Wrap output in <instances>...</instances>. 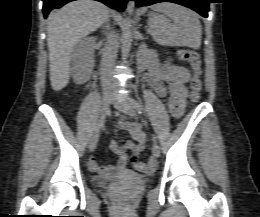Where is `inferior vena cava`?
I'll return each mask as SVG.
<instances>
[{"instance_id": "602c4592", "label": "inferior vena cava", "mask_w": 260, "mask_h": 217, "mask_svg": "<svg viewBox=\"0 0 260 217\" xmlns=\"http://www.w3.org/2000/svg\"><path fill=\"white\" fill-rule=\"evenodd\" d=\"M110 30V29H109ZM118 39L114 31L110 30L107 33V43L103 51L101 60V80L104 87L115 85L116 81L113 78L112 71L115 66L117 57Z\"/></svg>"}]
</instances>
